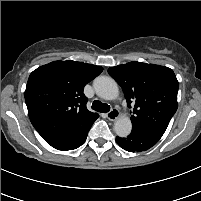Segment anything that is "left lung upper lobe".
Returning <instances> with one entry per match:
<instances>
[{"mask_svg": "<svg viewBox=\"0 0 201 201\" xmlns=\"http://www.w3.org/2000/svg\"><path fill=\"white\" fill-rule=\"evenodd\" d=\"M108 73L122 87L128 105L135 103L132 128L165 132L178 107L179 83L173 70L134 61L111 67Z\"/></svg>", "mask_w": 201, "mask_h": 201, "instance_id": "5c2ea615", "label": "left lung upper lobe"}]
</instances>
